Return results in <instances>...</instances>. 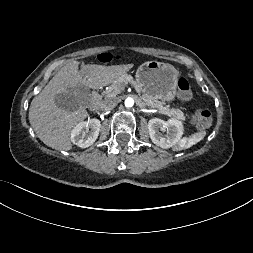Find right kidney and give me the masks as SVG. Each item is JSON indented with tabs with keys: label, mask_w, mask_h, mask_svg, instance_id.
Listing matches in <instances>:
<instances>
[{
	"label": "right kidney",
	"mask_w": 253,
	"mask_h": 253,
	"mask_svg": "<svg viewBox=\"0 0 253 253\" xmlns=\"http://www.w3.org/2000/svg\"><path fill=\"white\" fill-rule=\"evenodd\" d=\"M101 123L98 119L78 123L71 132V141L80 148L91 146L98 138Z\"/></svg>",
	"instance_id": "obj_1"
}]
</instances>
